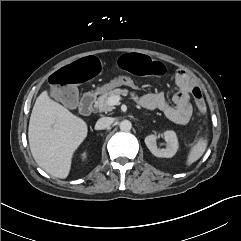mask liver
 <instances>
[{"label":"liver","mask_w":241,"mask_h":241,"mask_svg":"<svg viewBox=\"0 0 241 241\" xmlns=\"http://www.w3.org/2000/svg\"><path fill=\"white\" fill-rule=\"evenodd\" d=\"M86 122L43 91L32 109L28 140L32 156L48 174L65 179L72 156L87 136Z\"/></svg>","instance_id":"obj_1"}]
</instances>
